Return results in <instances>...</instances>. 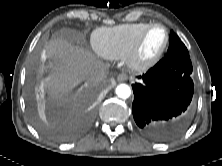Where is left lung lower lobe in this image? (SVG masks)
Here are the masks:
<instances>
[{"instance_id":"1","label":"left lung lower lobe","mask_w":222,"mask_h":166,"mask_svg":"<svg viewBox=\"0 0 222 166\" xmlns=\"http://www.w3.org/2000/svg\"><path fill=\"white\" fill-rule=\"evenodd\" d=\"M192 70L189 56H166L132 85L133 117L146 136L164 140L186 127L194 93Z\"/></svg>"}]
</instances>
